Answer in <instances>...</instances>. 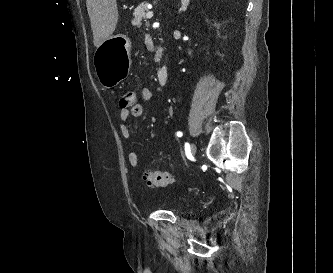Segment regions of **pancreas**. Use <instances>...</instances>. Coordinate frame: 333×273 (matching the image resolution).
<instances>
[{"mask_svg":"<svg viewBox=\"0 0 333 273\" xmlns=\"http://www.w3.org/2000/svg\"><path fill=\"white\" fill-rule=\"evenodd\" d=\"M148 3H141L133 13L132 25L135 27H141V21L145 18L146 11H147ZM161 57V52H157L155 55V61L158 62L159 58Z\"/></svg>","mask_w":333,"mask_h":273,"instance_id":"obj_1","label":"pancreas"}]
</instances>
